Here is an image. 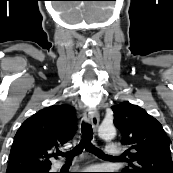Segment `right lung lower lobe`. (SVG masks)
I'll list each match as a JSON object with an SVG mask.
<instances>
[{"instance_id": "1", "label": "right lung lower lobe", "mask_w": 173, "mask_h": 173, "mask_svg": "<svg viewBox=\"0 0 173 173\" xmlns=\"http://www.w3.org/2000/svg\"><path fill=\"white\" fill-rule=\"evenodd\" d=\"M14 173H49V169L48 171L44 169H29V170H23V171H16Z\"/></svg>"}]
</instances>
